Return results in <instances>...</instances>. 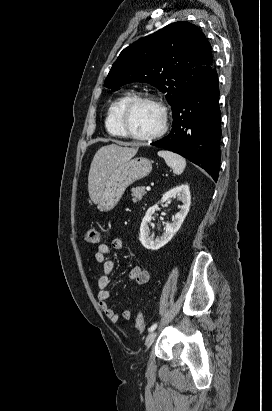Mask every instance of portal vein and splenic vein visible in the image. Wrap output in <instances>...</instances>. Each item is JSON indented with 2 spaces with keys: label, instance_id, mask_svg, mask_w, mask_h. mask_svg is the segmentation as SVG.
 I'll return each instance as SVG.
<instances>
[{
  "label": "portal vein and splenic vein",
  "instance_id": "portal-vein-and-splenic-vein-1",
  "mask_svg": "<svg viewBox=\"0 0 272 411\" xmlns=\"http://www.w3.org/2000/svg\"><path fill=\"white\" fill-rule=\"evenodd\" d=\"M146 189H147L148 191L151 190L150 186H147Z\"/></svg>",
  "mask_w": 272,
  "mask_h": 411
}]
</instances>
